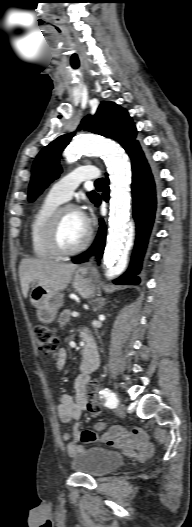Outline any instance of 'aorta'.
Segmentation results:
<instances>
[{
	"label": "aorta",
	"mask_w": 192,
	"mask_h": 527,
	"mask_svg": "<svg viewBox=\"0 0 192 527\" xmlns=\"http://www.w3.org/2000/svg\"><path fill=\"white\" fill-rule=\"evenodd\" d=\"M99 154L106 160L111 182L109 235L104 264L109 276L122 273L127 265L134 229L130 225V166L126 154L118 145L101 137H77L65 151L67 163L75 162L81 154Z\"/></svg>",
	"instance_id": "1"
}]
</instances>
